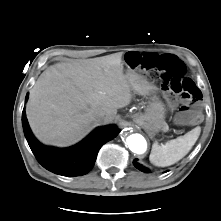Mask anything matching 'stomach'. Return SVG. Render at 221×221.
I'll list each match as a JSON object with an SVG mask.
<instances>
[{
    "label": "stomach",
    "instance_id": "1",
    "mask_svg": "<svg viewBox=\"0 0 221 221\" xmlns=\"http://www.w3.org/2000/svg\"><path fill=\"white\" fill-rule=\"evenodd\" d=\"M125 60L128 62L127 57ZM125 75L137 93L150 96L145 112L131 115L133 122L143 128L150 137L166 131V106L157 96V87L144 76L137 74L135 69L129 65Z\"/></svg>",
    "mask_w": 221,
    "mask_h": 221
}]
</instances>
